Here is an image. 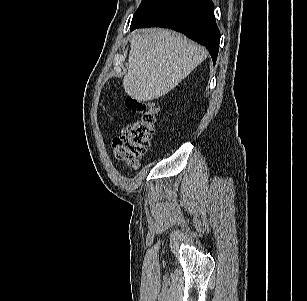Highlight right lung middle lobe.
Returning a JSON list of instances; mask_svg holds the SVG:
<instances>
[{
	"instance_id": "dd1d6c3e",
	"label": "right lung middle lobe",
	"mask_w": 307,
	"mask_h": 301,
	"mask_svg": "<svg viewBox=\"0 0 307 301\" xmlns=\"http://www.w3.org/2000/svg\"><path fill=\"white\" fill-rule=\"evenodd\" d=\"M166 1L167 0H142L139 8L134 13V16H133L131 23H133V22L137 21L138 19L144 17L145 15H147L148 13H150L151 11H153L154 9H156L157 7H159L160 5H162Z\"/></svg>"
}]
</instances>
